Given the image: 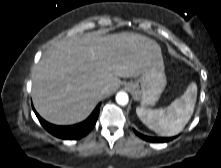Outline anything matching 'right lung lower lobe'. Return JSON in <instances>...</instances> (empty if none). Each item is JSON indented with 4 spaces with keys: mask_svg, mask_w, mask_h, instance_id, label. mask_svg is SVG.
<instances>
[{
    "mask_svg": "<svg viewBox=\"0 0 221 168\" xmlns=\"http://www.w3.org/2000/svg\"><path fill=\"white\" fill-rule=\"evenodd\" d=\"M100 104L95 108L92 114L83 122L71 126H57L43 120L34 110L42 126L52 135L61 139L77 140L87 135L95 126L99 115Z\"/></svg>",
    "mask_w": 221,
    "mask_h": 168,
    "instance_id": "1",
    "label": "right lung lower lobe"
}]
</instances>
